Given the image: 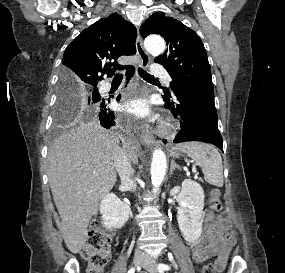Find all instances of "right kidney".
Returning a JSON list of instances; mask_svg holds the SVG:
<instances>
[{"instance_id": "1", "label": "right kidney", "mask_w": 285, "mask_h": 273, "mask_svg": "<svg viewBox=\"0 0 285 273\" xmlns=\"http://www.w3.org/2000/svg\"><path fill=\"white\" fill-rule=\"evenodd\" d=\"M130 207L115 194H106L100 203V213L106 228H121L129 219Z\"/></svg>"}]
</instances>
